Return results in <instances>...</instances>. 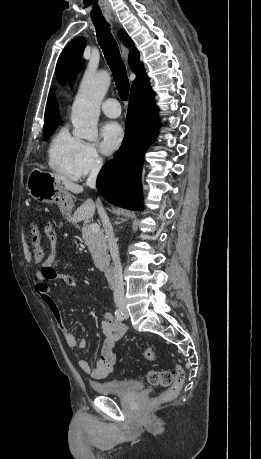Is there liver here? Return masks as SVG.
<instances>
[{
    "label": "liver",
    "mask_w": 261,
    "mask_h": 459,
    "mask_svg": "<svg viewBox=\"0 0 261 459\" xmlns=\"http://www.w3.org/2000/svg\"><path fill=\"white\" fill-rule=\"evenodd\" d=\"M61 183L62 185L65 186V188L69 191H71L74 194H80L83 192V187L81 185H78L70 180H67L63 176L53 174ZM95 208L96 205L93 202L91 198L87 199L75 212L73 216V221H81V220H86L90 219L93 217L95 213ZM25 252H26V259L28 262L31 261V256L30 253L28 252L27 247H25Z\"/></svg>",
    "instance_id": "6515ba94"
}]
</instances>
